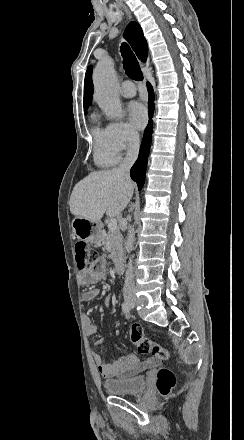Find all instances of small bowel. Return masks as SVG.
Masks as SVG:
<instances>
[{"instance_id":"obj_1","label":"small bowel","mask_w":244,"mask_h":440,"mask_svg":"<svg viewBox=\"0 0 244 440\" xmlns=\"http://www.w3.org/2000/svg\"><path fill=\"white\" fill-rule=\"evenodd\" d=\"M106 261L103 257H98L96 261L80 272L79 279L83 286H92L102 280L105 276ZM97 288H90L83 292L82 299L84 301H93L99 296ZM87 334L93 336L97 333V325L92 321V318L85 314L83 317ZM93 361L98 372L107 379H116L119 381H127L139 375L143 371L158 365L156 359L139 360L134 354H127L118 359L106 363L103 361L101 355L97 352L92 353Z\"/></svg>"}]
</instances>
